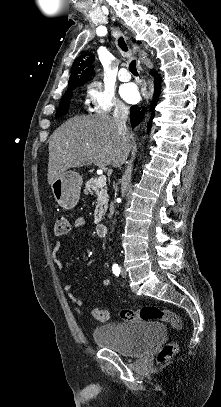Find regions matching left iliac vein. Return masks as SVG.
<instances>
[{
  "mask_svg": "<svg viewBox=\"0 0 221 407\" xmlns=\"http://www.w3.org/2000/svg\"><path fill=\"white\" fill-rule=\"evenodd\" d=\"M121 276H122L123 278H126V277H127V272L125 271L124 268L121 269Z\"/></svg>",
  "mask_w": 221,
  "mask_h": 407,
  "instance_id": "4c4485c4",
  "label": "left iliac vein"
}]
</instances>
